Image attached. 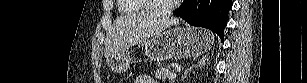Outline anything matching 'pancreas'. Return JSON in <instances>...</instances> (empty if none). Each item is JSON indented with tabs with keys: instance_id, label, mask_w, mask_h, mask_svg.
<instances>
[{
	"instance_id": "obj_1",
	"label": "pancreas",
	"mask_w": 307,
	"mask_h": 83,
	"mask_svg": "<svg viewBox=\"0 0 307 83\" xmlns=\"http://www.w3.org/2000/svg\"><path fill=\"white\" fill-rule=\"evenodd\" d=\"M173 73L169 68H158L155 72L157 79H167L169 75Z\"/></svg>"
}]
</instances>
